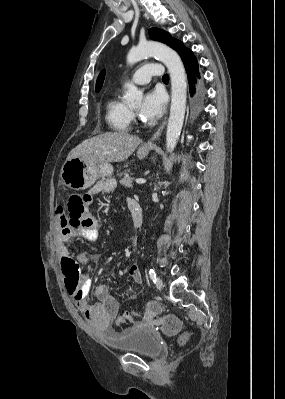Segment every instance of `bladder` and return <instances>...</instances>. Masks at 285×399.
<instances>
[{
    "mask_svg": "<svg viewBox=\"0 0 285 399\" xmlns=\"http://www.w3.org/2000/svg\"><path fill=\"white\" fill-rule=\"evenodd\" d=\"M107 347L125 353L155 357L161 352V345L155 335L144 327H133L120 333H105Z\"/></svg>",
    "mask_w": 285,
    "mask_h": 399,
    "instance_id": "obj_1",
    "label": "bladder"
}]
</instances>
